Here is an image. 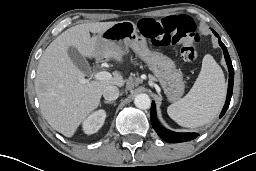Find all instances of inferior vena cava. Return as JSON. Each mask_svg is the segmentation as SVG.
Masks as SVG:
<instances>
[{"instance_id": "1", "label": "inferior vena cava", "mask_w": 256, "mask_h": 171, "mask_svg": "<svg viewBox=\"0 0 256 171\" xmlns=\"http://www.w3.org/2000/svg\"><path fill=\"white\" fill-rule=\"evenodd\" d=\"M119 96V89L116 86H107L103 91V97L105 100L114 101Z\"/></svg>"}]
</instances>
